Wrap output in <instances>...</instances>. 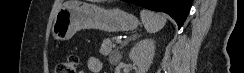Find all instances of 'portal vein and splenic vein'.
Here are the masks:
<instances>
[{
  "label": "portal vein and splenic vein",
  "instance_id": "1",
  "mask_svg": "<svg viewBox=\"0 0 244 73\" xmlns=\"http://www.w3.org/2000/svg\"><path fill=\"white\" fill-rule=\"evenodd\" d=\"M122 41L121 40H116V43H121Z\"/></svg>",
  "mask_w": 244,
  "mask_h": 73
}]
</instances>
